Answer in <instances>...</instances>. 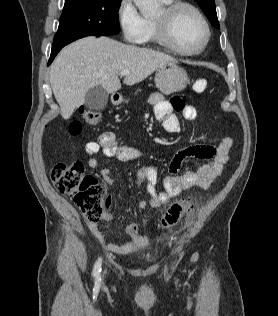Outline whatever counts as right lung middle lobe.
<instances>
[{
    "label": "right lung middle lobe",
    "mask_w": 278,
    "mask_h": 316,
    "mask_svg": "<svg viewBox=\"0 0 278 316\" xmlns=\"http://www.w3.org/2000/svg\"><path fill=\"white\" fill-rule=\"evenodd\" d=\"M121 0H65L52 49L90 35L119 33Z\"/></svg>",
    "instance_id": "dd1d6c3e"
}]
</instances>
